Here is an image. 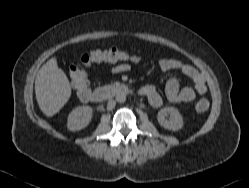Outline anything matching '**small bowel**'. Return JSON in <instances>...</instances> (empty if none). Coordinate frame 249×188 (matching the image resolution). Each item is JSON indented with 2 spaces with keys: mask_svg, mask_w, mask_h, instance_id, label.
Here are the masks:
<instances>
[{
  "mask_svg": "<svg viewBox=\"0 0 249 188\" xmlns=\"http://www.w3.org/2000/svg\"><path fill=\"white\" fill-rule=\"evenodd\" d=\"M125 61H138V57L129 54V59ZM158 64L160 69L164 71H180L193 82V86L180 87L179 81L176 78H170L165 84V97L153 86L147 85L141 87L139 94L146 97L153 107H161L166 103L178 105L191 102L195 100L197 95L206 93L207 86L205 79L193 66L172 58H162ZM128 68L127 64L122 63L115 66L114 71L120 73L128 70Z\"/></svg>",
  "mask_w": 249,
  "mask_h": 188,
  "instance_id": "c3829d8e",
  "label": "small bowel"
}]
</instances>
